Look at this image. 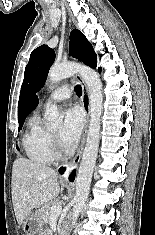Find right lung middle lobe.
Here are the masks:
<instances>
[{"label":"right lung middle lobe","mask_w":155,"mask_h":235,"mask_svg":"<svg viewBox=\"0 0 155 235\" xmlns=\"http://www.w3.org/2000/svg\"><path fill=\"white\" fill-rule=\"evenodd\" d=\"M24 120H25V119L18 121L19 124H20V128L22 127V125H23V123H24Z\"/></svg>","instance_id":"1"}]
</instances>
